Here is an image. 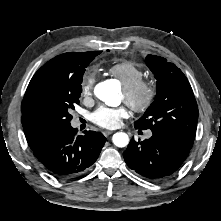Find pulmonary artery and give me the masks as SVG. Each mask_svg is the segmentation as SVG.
I'll return each instance as SVG.
<instances>
[{
    "label": "pulmonary artery",
    "mask_w": 221,
    "mask_h": 221,
    "mask_svg": "<svg viewBox=\"0 0 221 221\" xmlns=\"http://www.w3.org/2000/svg\"><path fill=\"white\" fill-rule=\"evenodd\" d=\"M151 135H152V133H151V132H148V133L146 134V137H147V138H150Z\"/></svg>",
    "instance_id": "1"
}]
</instances>
